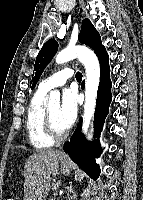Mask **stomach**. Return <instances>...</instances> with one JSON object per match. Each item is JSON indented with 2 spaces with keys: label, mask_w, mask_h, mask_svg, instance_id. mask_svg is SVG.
I'll use <instances>...</instances> for the list:
<instances>
[{
  "label": "stomach",
  "mask_w": 143,
  "mask_h": 200,
  "mask_svg": "<svg viewBox=\"0 0 143 200\" xmlns=\"http://www.w3.org/2000/svg\"><path fill=\"white\" fill-rule=\"evenodd\" d=\"M69 172H70L69 166H67V165H65V164H62V165H61V173H62L63 175H68Z\"/></svg>",
  "instance_id": "1"
}]
</instances>
